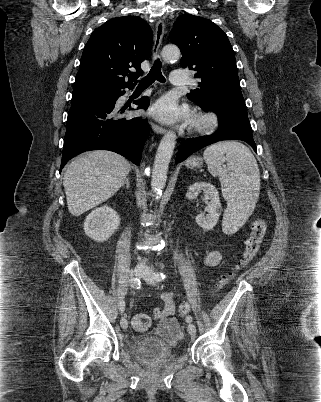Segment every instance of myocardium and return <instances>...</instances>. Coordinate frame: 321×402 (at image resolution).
I'll use <instances>...</instances> for the list:
<instances>
[{"label": "myocardium", "instance_id": "f54148a6", "mask_svg": "<svg viewBox=\"0 0 321 402\" xmlns=\"http://www.w3.org/2000/svg\"><path fill=\"white\" fill-rule=\"evenodd\" d=\"M190 130L198 135H209L219 128V119L212 112H195L190 120Z\"/></svg>", "mask_w": 321, "mask_h": 402}]
</instances>
